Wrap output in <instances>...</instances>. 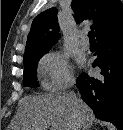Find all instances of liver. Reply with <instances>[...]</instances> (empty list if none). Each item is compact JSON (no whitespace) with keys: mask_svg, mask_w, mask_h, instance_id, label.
Wrapping results in <instances>:
<instances>
[{"mask_svg":"<svg viewBox=\"0 0 123 130\" xmlns=\"http://www.w3.org/2000/svg\"><path fill=\"white\" fill-rule=\"evenodd\" d=\"M79 112V130H86L96 122L90 107L69 93L25 96L19 101L18 111L10 130H72L74 110Z\"/></svg>","mask_w":123,"mask_h":130,"instance_id":"obj_1","label":"liver"}]
</instances>
